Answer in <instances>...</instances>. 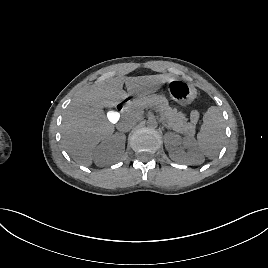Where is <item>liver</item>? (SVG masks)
I'll list each match as a JSON object with an SVG mask.
<instances>
[{"label": "liver", "instance_id": "6515ba94", "mask_svg": "<svg viewBox=\"0 0 268 268\" xmlns=\"http://www.w3.org/2000/svg\"><path fill=\"white\" fill-rule=\"evenodd\" d=\"M171 79L164 74L117 76L80 90L67 107L62 123L63 144L73 160L90 166L97 144L113 134L114 125L103 108L115 107L128 95L140 98L154 93ZM124 83L128 94L123 90Z\"/></svg>", "mask_w": 268, "mask_h": 268}]
</instances>
